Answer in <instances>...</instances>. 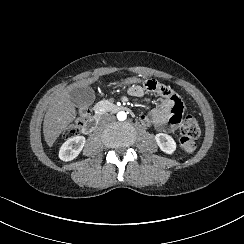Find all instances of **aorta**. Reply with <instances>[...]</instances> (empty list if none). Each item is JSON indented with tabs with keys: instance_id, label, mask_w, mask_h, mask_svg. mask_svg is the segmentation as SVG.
Masks as SVG:
<instances>
[{
	"instance_id": "obj_1",
	"label": "aorta",
	"mask_w": 244,
	"mask_h": 244,
	"mask_svg": "<svg viewBox=\"0 0 244 244\" xmlns=\"http://www.w3.org/2000/svg\"><path fill=\"white\" fill-rule=\"evenodd\" d=\"M117 118L120 121H124L127 118V114L124 111H120L117 113Z\"/></svg>"
}]
</instances>
